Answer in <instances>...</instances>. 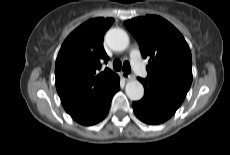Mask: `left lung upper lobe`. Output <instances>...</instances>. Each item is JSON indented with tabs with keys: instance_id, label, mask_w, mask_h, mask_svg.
<instances>
[{
	"instance_id": "5c2ea615",
	"label": "left lung upper lobe",
	"mask_w": 230,
	"mask_h": 155,
	"mask_svg": "<svg viewBox=\"0 0 230 155\" xmlns=\"http://www.w3.org/2000/svg\"><path fill=\"white\" fill-rule=\"evenodd\" d=\"M124 24L138 41L143 58H149L145 80L183 101L192 83V57L182 34L155 15Z\"/></svg>"
}]
</instances>
